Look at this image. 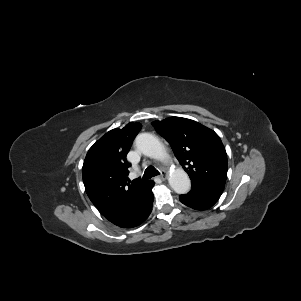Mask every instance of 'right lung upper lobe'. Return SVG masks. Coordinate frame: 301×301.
<instances>
[{
	"label": "right lung upper lobe",
	"instance_id": "right-lung-upper-lobe-1",
	"mask_svg": "<svg viewBox=\"0 0 301 301\" xmlns=\"http://www.w3.org/2000/svg\"><path fill=\"white\" fill-rule=\"evenodd\" d=\"M142 125L130 122L113 129L88 151L82 167L86 193L98 211L119 225L134 209L147 182H128L126 155Z\"/></svg>",
	"mask_w": 301,
	"mask_h": 301
}]
</instances>
